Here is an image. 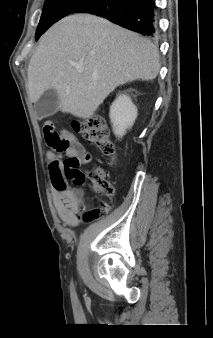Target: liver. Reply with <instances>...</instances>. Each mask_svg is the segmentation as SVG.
Here are the masks:
<instances>
[{
	"label": "liver",
	"instance_id": "1",
	"mask_svg": "<svg viewBox=\"0 0 213 338\" xmlns=\"http://www.w3.org/2000/svg\"><path fill=\"white\" fill-rule=\"evenodd\" d=\"M159 70L158 47L150 40L106 19L75 14L41 37L28 66V94L36 103L53 88L62 112L86 119L117 86L153 80Z\"/></svg>",
	"mask_w": 213,
	"mask_h": 338
}]
</instances>
